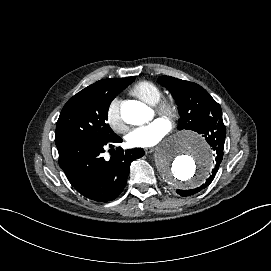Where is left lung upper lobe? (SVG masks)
I'll return each instance as SVG.
<instances>
[{
  "mask_svg": "<svg viewBox=\"0 0 271 271\" xmlns=\"http://www.w3.org/2000/svg\"><path fill=\"white\" fill-rule=\"evenodd\" d=\"M158 81L171 92L179 106V130L197 132L216 117L222 116L221 106L198 84L170 76H161Z\"/></svg>",
  "mask_w": 271,
  "mask_h": 271,
  "instance_id": "left-lung-upper-lobe-1",
  "label": "left lung upper lobe"
}]
</instances>
